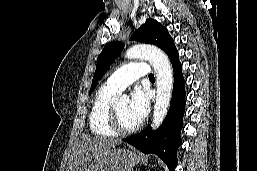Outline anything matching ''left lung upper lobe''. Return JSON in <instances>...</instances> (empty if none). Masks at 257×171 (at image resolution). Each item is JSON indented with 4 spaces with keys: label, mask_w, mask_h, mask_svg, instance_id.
Listing matches in <instances>:
<instances>
[{
    "label": "left lung upper lobe",
    "mask_w": 257,
    "mask_h": 171,
    "mask_svg": "<svg viewBox=\"0 0 257 171\" xmlns=\"http://www.w3.org/2000/svg\"><path fill=\"white\" fill-rule=\"evenodd\" d=\"M142 43H149L158 46L169 56L177 51L173 39L170 37L167 29L156 20L147 19L146 23L137 29L132 38ZM124 44L122 42H112L107 44L97 58V67L93 76L90 93L96 86L97 82L103 77L110 65L120 54Z\"/></svg>",
    "instance_id": "1"
}]
</instances>
